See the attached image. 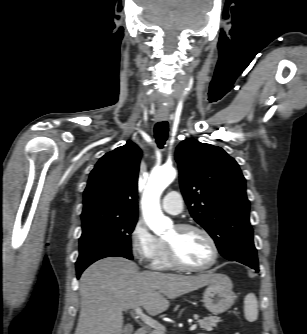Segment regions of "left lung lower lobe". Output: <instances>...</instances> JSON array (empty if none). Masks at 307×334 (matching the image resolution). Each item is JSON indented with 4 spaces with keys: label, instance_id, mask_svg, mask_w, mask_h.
I'll list each match as a JSON object with an SVG mask.
<instances>
[{
    "label": "left lung lower lobe",
    "instance_id": "left-lung-lower-lobe-1",
    "mask_svg": "<svg viewBox=\"0 0 307 334\" xmlns=\"http://www.w3.org/2000/svg\"><path fill=\"white\" fill-rule=\"evenodd\" d=\"M240 256L241 257H235V258L228 259V260L240 262L242 264H245L255 269L256 271H259L257 253H256L255 247L241 249Z\"/></svg>",
    "mask_w": 307,
    "mask_h": 334
}]
</instances>
